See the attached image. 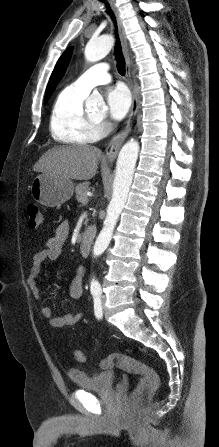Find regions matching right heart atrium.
Listing matches in <instances>:
<instances>
[{
	"mask_svg": "<svg viewBox=\"0 0 219 447\" xmlns=\"http://www.w3.org/2000/svg\"><path fill=\"white\" fill-rule=\"evenodd\" d=\"M99 128L101 129V131H105L106 128H107V125L102 123V124L99 125Z\"/></svg>",
	"mask_w": 219,
	"mask_h": 447,
	"instance_id": "d8ad5b80",
	"label": "right heart atrium"
}]
</instances>
